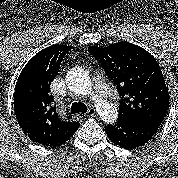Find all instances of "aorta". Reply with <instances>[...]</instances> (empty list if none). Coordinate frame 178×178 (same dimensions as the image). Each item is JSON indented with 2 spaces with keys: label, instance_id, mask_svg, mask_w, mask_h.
<instances>
[{
  "label": "aorta",
  "instance_id": "aorta-1",
  "mask_svg": "<svg viewBox=\"0 0 178 178\" xmlns=\"http://www.w3.org/2000/svg\"><path fill=\"white\" fill-rule=\"evenodd\" d=\"M68 88L79 95H86L91 90V79L89 75L80 68L71 70L66 76ZM96 110L101 120L106 123H114L118 117L117 108L106 101L97 100Z\"/></svg>",
  "mask_w": 178,
  "mask_h": 178
}]
</instances>
